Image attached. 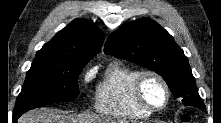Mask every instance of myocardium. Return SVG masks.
<instances>
[{
	"mask_svg": "<svg viewBox=\"0 0 221 123\" xmlns=\"http://www.w3.org/2000/svg\"><path fill=\"white\" fill-rule=\"evenodd\" d=\"M148 77H152L154 79H156L164 88L165 91V102L162 106L160 107H154L152 105H150L144 95H143V83L145 81L146 78ZM133 95L135 100L137 101V103L146 111L150 112V113H155V112H160L162 110H164L169 102H170V98H171V91H170V87L167 83V81L165 80V78L159 74L158 72L154 71V70H143V71H139L138 74L136 75L134 81H133Z\"/></svg>",
	"mask_w": 221,
	"mask_h": 123,
	"instance_id": "obj_1",
	"label": "myocardium"
}]
</instances>
